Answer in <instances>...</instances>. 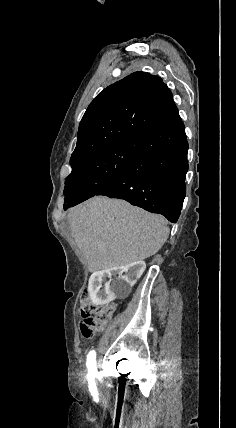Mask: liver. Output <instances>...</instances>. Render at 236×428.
<instances>
[{
	"label": "liver",
	"instance_id": "obj_1",
	"mask_svg": "<svg viewBox=\"0 0 236 428\" xmlns=\"http://www.w3.org/2000/svg\"><path fill=\"white\" fill-rule=\"evenodd\" d=\"M67 218L89 272L150 258L161 250L170 234L163 216L105 196L75 206Z\"/></svg>",
	"mask_w": 236,
	"mask_h": 428
}]
</instances>
